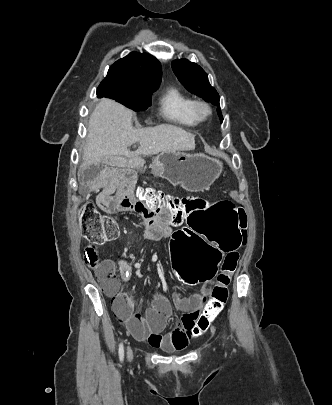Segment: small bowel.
Returning a JSON list of instances; mask_svg holds the SVG:
<instances>
[{
    "label": "small bowel",
    "mask_w": 332,
    "mask_h": 405,
    "mask_svg": "<svg viewBox=\"0 0 332 405\" xmlns=\"http://www.w3.org/2000/svg\"><path fill=\"white\" fill-rule=\"evenodd\" d=\"M87 167L78 173L75 185L106 186L96 199L98 211H103L104 215H129L130 212L138 214L144 220V237L148 241H160L172 234L173 227L179 224V221L171 222L173 220L172 210H164L159 215V220L151 217L153 212H140L142 203L138 197H135L137 192L134 191L133 186V180L138 178L137 171H130L129 168H112L111 162H89ZM112 177H116V180ZM242 242L243 240H241V245ZM114 268V263L110 260L102 261L97 266L95 274L102 286L103 274L113 271ZM119 268L122 278L128 279L131 273L130 265L121 259ZM212 289V281H207L206 287H201L190 297H185L182 293L175 294L172 301L184 314L180 327L167 334H162V332L171 315L172 304L163 295H157L154 298L152 306L144 316L137 314L123 317L115 312L125 321L135 339L147 342L152 347L161 348L164 351L183 349L193 339L190 331L197 329L196 324L200 312ZM204 331H201V334Z\"/></svg>",
    "instance_id": "c3829d8e"
}]
</instances>
